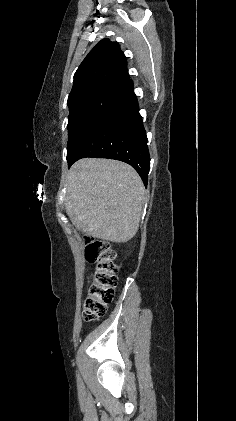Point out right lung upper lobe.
<instances>
[{
    "label": "right lung upper lobe",
    "mask_w": 236,
    "mask_h": 421,
    "mask_svg": "<svg viewBox=\"0 0 236 421\" xmlns=\"http://www.w3.org/2000/svg\"><path fill=\"white\" fill-rule=\"evenodd\" d=\"M127 79L126 58L120 46L109 39H103L88 53L75 72L69 98L90 89L122 86Z\"/></svg>",
    "instance_id": "1"
}]
</instances>
